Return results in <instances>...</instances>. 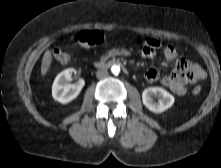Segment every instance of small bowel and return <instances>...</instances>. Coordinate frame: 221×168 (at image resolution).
<instances>
[{
  "label": "small bowel",
  "instance_id": "small-bowel-1",
  "mask_svg": "<svg viewBox=\"0 0 221 168\" xmlns=\"http://www.w3.org/2000/svg\"><path fill=\"white\" fill-rule=\"evenodd\" d=\"M164 56L167 61H177V69L171 74L160 77V72L151 68L145 72V78L148 81H157L160 79L162 85L170 89L176 95H184L187 91V84L194 83L205 77L203 69L196 63H187L184 59L177 60L178 54L172 45L164 48ZM156 49L144 47L142 56L151 59L155 56ZM129 51L125 48L118 47L107 51L103 58L110 56H128Z\"/></svg>",
  "mask_w": 221,
  "mask_h": 168
}]
</instances>
